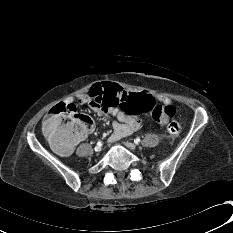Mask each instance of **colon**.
<instances>
[{"label": "colon", "instance_id": "colon-1", "mask_svg": "<svg viewBox=\"0 0 233 233\" xmlns=\"http://www.w3.org/2000/svg\"><path fill=\"white\" fill-rule=\"evenodd\" d=\"M90 95L97 104L119 107L129 115L148 111L154 121L167 123L166 129L170 136L177 137L181 133V124L175 118V107L157 104L148 90L136 92L119 82H98L91 87ZM64 118H67L66 122ZM92 128L93 122L88 115L77 113L74 105L65 103L55 105L44 122L46 136L54 146L62 150L72 146L75 140L87 137Z\"/></svg>", "mask_w": 233, "mask_h": 233}]
</instances>
